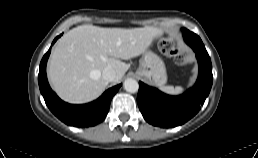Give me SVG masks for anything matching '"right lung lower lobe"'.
<instances>
[{
    "label": "right lung lower lobe",
    "mask_w": 258,
    "mask_h": 158,
    "mask_svg": "<svg viewBox=\"0 0 258 158\" xmlns=\"http://www.w3.org/2000/svg\"><path fill=\"white\" fill-rule=\"evenodd\" d=\"M59 37L60 36H57L52 44H54ZM50 52L51 48L43 56L38 75L40 92L48 108L62 122L70 126L89 127L102 122L109 111L110 101L120 88L121 84L108 89L100 98L94 102L83 105L68 104L62 101L51 90L48 84L46 77V63Z\"/></svg>",
    "instance_id": "obj_1"
}]
</instances>
